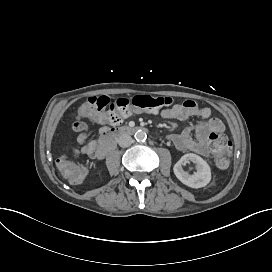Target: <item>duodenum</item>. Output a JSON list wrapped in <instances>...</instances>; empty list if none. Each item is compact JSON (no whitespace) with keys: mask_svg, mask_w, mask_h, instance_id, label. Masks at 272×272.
Masks as SVG:
<instances>
[{"mask_svg":"<svg viewBox=\"0 0 272 272\" xmlns=\"http://www.w3.org/2000/svg\"><path fill=\"white\" fill-rule=\"evenodd\" d=\"M139 129L141 128L124 126L102 130L98 139L97 157L99 159L104 158L115 147L118 138L133 134Z\"/></svg>","mask_w":272,"mask_h":272,"instance_id":"410a0bca","label":"duodenum"}]
</instances>
